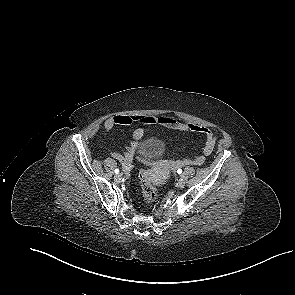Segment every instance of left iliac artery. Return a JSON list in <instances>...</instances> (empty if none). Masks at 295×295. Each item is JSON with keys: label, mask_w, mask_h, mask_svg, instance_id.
I'll use <instances>...</instances> for the list:
<instances>
[{"label": "left iliac artery", "mask_w": 295, "mask_h": 295, "mask_svg": "<svg viewBox=\"0 0 295 295\" xmlns=\"http://www.w3.org/2000/svg\"><path fill=\"white\" fill-rule=\"evenodd\" d=\"M177 173H178V174H181V173H182V169H178V170H177Z\"/></svg>", "instance_id": "1"}]
</instances>
